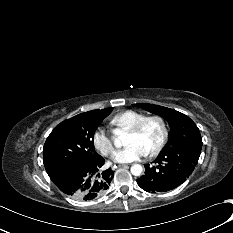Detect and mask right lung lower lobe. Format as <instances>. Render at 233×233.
Masks as SVG:
<instances>
[{
	"label": "right lung lower lobe",
	"instance_id": "1",
	"mask_svg": "<svg viewBox=\"0 0 233 233\" xmlns=\"http://www.w3.org/2000/svg\"><path fill=\"white\" fill-rule=\"evenodd\" d=\"M105 160L103 157L82 163L66 170L63 175L53 181L66 195L78 200H92L109 188L113 178L110 168L102 170Z\"/></svg>",
	"mask_w": 233,
	"mask_h": 233
}]
</instances>
